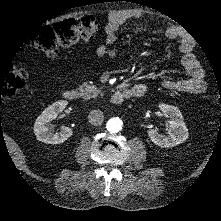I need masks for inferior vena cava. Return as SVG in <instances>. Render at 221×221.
Masks as SVG:
<instances>
[{
	"label": "inferior vena cava",
	"mask_w": 221,
	"mask_h": 221,
	"mask_svg": "<svg viewBox=\"0 0 221 221\" xmlns=\"http://www.w3.org/2000/svg\"><path fill=\"white\" fill-rule=\"evenodd\" d=\"M88 121L91 125L99 126L104 121V115L101 110H92L88 115Z\"/></svg>",
	"instance_id": "1"
}]
</instances>
